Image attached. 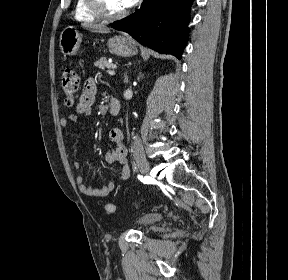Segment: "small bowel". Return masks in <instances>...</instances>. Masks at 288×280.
Here are the masks:
<instances>
[{"instance_id": "c3829d8e", "label": "small bowel", "mask_w": 288, "mask_h": 280, "mask_svg": "<svg viewBox=\"0 0 288 280\" xmlns=\"http://www.w3.org/2000/svg\"><path fill=\"white\" fill-rule=\"evenodd\" d=\"M96 94L97 85L93 78H88L84 83L75 113L69 114L68 116L62 118L60 120L61 126L68 127L71 123L79 122L82 117H89L92 113V106L95 101ZM109 138L114 146L105 154V162L107 164H119L121 167L120 180L124 181L128 179L130 169L127 159V148L123 143V132L119 128H112L109 132ZM74 167L76 169H80L81 163L79 161H75ZM75 181L80 192L90 197H106L116 187L115 182H109L102 187L92 188L85 184V180L82 176H77Z\"/></svg>"}]
</instances>
